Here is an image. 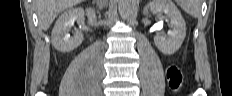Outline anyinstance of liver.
Masks as SVG:
<instances>
[{
    "instance_id": "1",
    "label": "liver",
    "mask_w": 232,
    "mask_h": 96,
    "mask_svg": "<svg viewBox=\"0 0 232 96\" xmlns=\"http://www.w3.org/2000/svg\"><path fill=\"white\" fill-rule=\"evenodd\" d=\"M81 1L82 0H35L41 28L46 31L62 11Z\"/></svg>"
}]
</instances>
